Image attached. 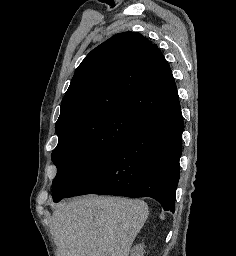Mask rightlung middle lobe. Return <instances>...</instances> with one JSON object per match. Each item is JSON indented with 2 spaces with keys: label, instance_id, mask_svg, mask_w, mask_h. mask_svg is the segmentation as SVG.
<instances>
[{
  "label": "right lung middle lobe",
  "instance_id": "1",
  "mask_svg": "<svg viewBox=\"0 0 236 256\" xmlns=\"http://www.w3.org/2000/svg\"><path fill=\"white\" fill-rule=\"evenodd\" d=\"M141 123V119L127 111H116L57 132L59 141L52 153V161L57 167L53 200L63 199Z\"/></svg>",
  "mask_w": 236,
  "mask_h": 256
}]
</instances>
